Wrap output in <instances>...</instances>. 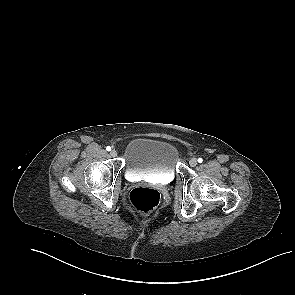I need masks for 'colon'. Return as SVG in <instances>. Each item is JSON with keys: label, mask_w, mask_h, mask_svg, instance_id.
Returning <instances> with one entry per match:
<instances>
[{"label": "colon", "mask_w": 295, "mask_h": 295, "mask_svg": "<svg viewBox=\"0 0 295 295\" xmlns=\"http://www.w3.org/2000/svg\"><path fill=\"white\" fill-rule=\"evenodd\" d=\"M129 201L136 211L148 214L160 203V194L153 188L139 187L130 192Z\"/></svg>", "instance_id": "colon-1"}]
</instances>
